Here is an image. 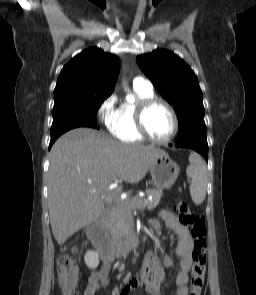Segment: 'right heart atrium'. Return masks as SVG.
I'll return each instance as SVG.
<instances>
[{"label":"right heart atrium","mask_w":256,"mask_h":295,"mask_svg":"<svg viewBox=\"0 0 256 295\" xmlns=\"http://www.w3.org/2000/svg\"><path fill=\"white\" fill-rule=\"evenodd\" d=\"M117 102H118L117 95L112 94L109 97H107L99 106L98 114L107 126H109L111 120L113 119L117 111V108H116Z\"/></svg>","instance_id":"obj_1"}]
</instances>
